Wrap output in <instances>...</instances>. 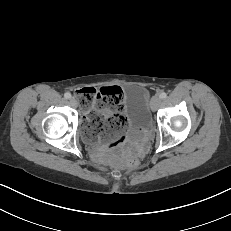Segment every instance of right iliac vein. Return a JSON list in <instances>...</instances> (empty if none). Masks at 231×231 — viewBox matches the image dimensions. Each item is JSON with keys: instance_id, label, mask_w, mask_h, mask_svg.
<instances>
[{"instance_id": "63e3f726", "label": "right iliac vein", "mask_w": 231, "mask_h": 231, "mask_svg": "<svg viewBox=\"0 0 231 231\" xmlns=\"http://www.w3.org/2000/svg\"><path fill=\"white\" fill-rule=\"evenodd\" d=\"M70 105L74 108H76L78 106V102L75 98H71L70 99Z\"/></svg>"}]
</instances>
